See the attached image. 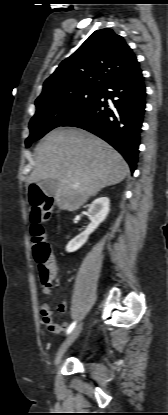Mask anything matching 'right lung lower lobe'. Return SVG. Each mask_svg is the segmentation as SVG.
Wrapping results in <instances>:
<instances>
[{
    "instance_id": "obj_1",
    "label": "right lung lower lobe",
    "mask_w": 168,
    "mask_h": 415,
    "mask_svg": "<svg viewBox=\"0 0 168 415\" xmlns=\"http://www.w3.org/2000/svg\"><path fill=\"white\" fill-rule=\"evenodd\" d=\"M145 96L138 63L111 80L93 105L62 126L82 128L99 136L122 154L134 172L145 112ZM107 99H111L112 103Z\"/></svg>"
}]
</instances>
